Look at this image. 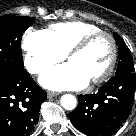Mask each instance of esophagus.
<instances>
[{
    "mask_svg": "<svg viewBox=\"0 0 136 136\" xmlns=\"http://www.w3.org/2000/svg\"><path fill=\"white\" fill-rule=\"evenodd\" d=\"M47 95H48L49 98H52V97H55V96L59 95V93L53 92V91H48Z\"/></svg>",
    "mask_w": 136,
    "mask_h": 136,
    "instance_id": "1",
    "label": "esophagus"
}]
</instances>
